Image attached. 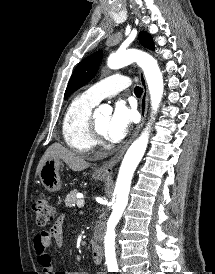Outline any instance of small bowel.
I'll return each mask as SVG.
<instances>
[{
	"mask_svg": "<svg viewBox=\"0 0 215 274\" xmlns=\"http://www.w3.org/2000/svg\"><path fill=\"white\" fill-rule=\"evenodd\" d=\"M63 223L64 217L60 216L53 226L47 230L36 234L34 238V250L37 255L38 262L44 272V274H85L82 272H64L54 271L51 256L47 253L51 241L53 240L57 247L63 245ZM96 274H103L97 272Z\"/></svg>",
	"mask_w": 215,
	"mask_h": 274,
	"instance_id": "obj_1",
	"label": "small bowel"
}]
</instances>
